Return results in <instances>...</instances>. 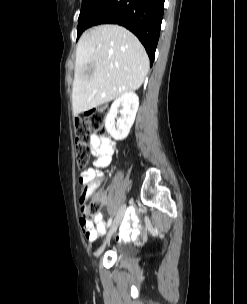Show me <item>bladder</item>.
I'll use <instances>...</instances> for the list:
<instances>
[{
    "mask_svg": "<svg viewBox=\"0 0 247 304\" xmlns=\"http://www.w3.org/2000/svg\"><path fill=\"white\" fill-rule=\"evenodd\" d=\"M115 252L120 258H128L134 254L133 248L125 245L117 246Z\"/></svg>",
    "mask_w": 247,
    "mask_h": 304,
    "instance_id": "1",
    "label": "bladder"
}]
</instances>
